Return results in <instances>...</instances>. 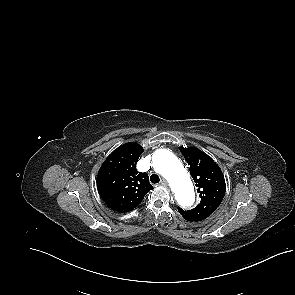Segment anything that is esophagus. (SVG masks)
Returning <instances> with one entry per match:
<instances>
[{"mask_svg": "<svg viewBox=\"0 0 295 295\" xmlns=\"http://www.w3.org/2000/svg\"><path fill=\"white\" fill-rule=\"evenodd\" d=\"M160 183L162 185H164V186H167L168 185V182L165 179H162Z\"/></svg>", "mask_w": 295, "mask_h": 295, "instance_id": "obj_1", "label": "esophagus"}]
</instances>
